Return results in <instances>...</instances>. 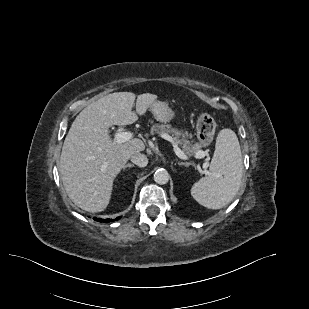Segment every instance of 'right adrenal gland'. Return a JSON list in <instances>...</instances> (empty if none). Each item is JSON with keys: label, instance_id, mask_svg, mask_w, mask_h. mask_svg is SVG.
<instances>
[{"label": "right adrenal gland", "instance_id": "2a0ac1e0", "mask_svg": "<svg viewBox=\"0 0 309 309\" xmlns=\"http://www.w3.org/2000/svg\"><path fill=\"white\" fill-rule=\"evenodd\" d=\"M133 168L134 167V165L133 164H131V163H129V164H126V165H124L123 166V170H125L126 168Z\"/></svg>", "mask_w": 309, "mask_h": 309}]
</instances>
